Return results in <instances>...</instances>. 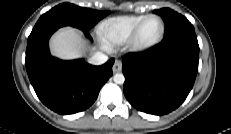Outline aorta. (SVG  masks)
<instances>
[{"instance_id":"1","label":"aorta","mask_w":231,"mask_h":134,"mask_svg":"<svg viewBox=\"0 0 231 134\" xmlns=\"http://www.w3.org/2000/svg\"><path fill=\"white\" fill-rule=\"evenodd\" d=\"M113 80L116 84H123L125 81V77L121 73H117L114 75Z\"/></svg>"}]
</instances>
